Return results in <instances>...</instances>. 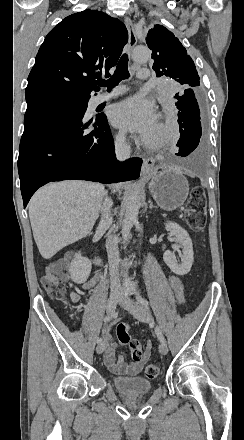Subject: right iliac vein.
Here are the masks:
<instances>
[{
	"mask_svg": "<svg viewBox=\"0 0 244 440\" xmlns=\"http://www.w3.org/2000/svg\"><path fill=\"white\" fill-rule=\"evenodd\" d=\"M119 300L118 297L114 294L111 295L108 300H107V304H106V309H107V313L110 315H113V313L115 312V309L117 307ZM107 344V340L103 341L102 343L98 344V346L96 347V352L98 354H101L104 352L105 347Z\"/></svg>",
	"mask_w": 244,
	"mask_h": 440,
	"instance_id": "obj_1",
	"label": "right iliac vein"
}]
</instances>
